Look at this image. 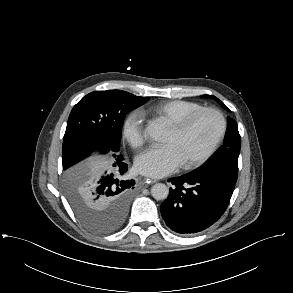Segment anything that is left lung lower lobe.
<instances>
[{"label":"left lung lower lobe","mask_w":293,"mask_h":293,"mask_svg":"<svg viewBox=\"0 0 293 293\" xmlns=\"http://www.w3.org/2000/svg\"><path fill=\"white\" fill-rule=\"evenodd\" d=\"M170 194L161 205L167 226L179 234H194L214 224L225 212L235 183L195 171L168 180Z\"/></svg>","instance_id":"1"}]
</instances>
